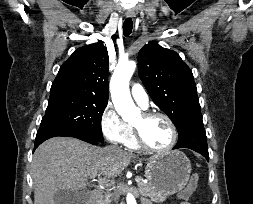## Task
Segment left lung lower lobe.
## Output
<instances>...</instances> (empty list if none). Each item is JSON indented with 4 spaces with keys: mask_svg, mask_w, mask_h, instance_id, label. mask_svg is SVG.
Here are the masks:
<instances>
[{
    "mask_svg": "<svg viewBox=\"0 0 253 204\" xmlns=\"http://www.w3.org/2000/svg\"><path fill=\"white\" fill-rule=\"evenodd\" d=\"M179 134V140L173 149L189 148L202 154L209 160L207 137L202 115L189 120Z\"/></svg>",
    "mask_w": 253,
    "mask_h": 204,
    "instance_id": "left-lung-lower-lobe-1",
    "label": "left lung lower lobe"
}]
</instances>
